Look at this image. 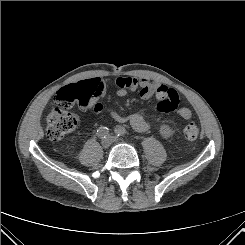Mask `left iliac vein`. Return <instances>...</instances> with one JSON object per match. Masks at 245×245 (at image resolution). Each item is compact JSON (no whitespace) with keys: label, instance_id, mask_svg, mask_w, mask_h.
<instances>
[{"label":"left iliac vein","instance_id":"1","mask_svg":"<svg viewBox=\"0 0 245 245\" xmlns=\"http://www.w3.org/2000/svg\"><path fill=\"white\" fill-rule=\"evenodd\" d=\"M110 140H111V143H117L120 141V139H118L117 137H114V136H109Z\"/></svg>","mask_w":245,"mask_h":245}]
</instances>
